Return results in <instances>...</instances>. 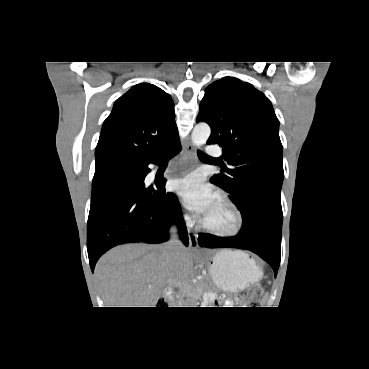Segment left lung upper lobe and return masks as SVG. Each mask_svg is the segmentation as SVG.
Masks as SVG:
<instances>
[{
    "instance_id": "left-lung-upper-lobe-1",
    "label": "left lung upper lobe",
    "mask_w": 369,
    "mask_h": 369,
    "mask_svg": "<svg viewBox=\"0 0 369 369\" xmlns=\"http://www.w3.org/2000/svg\"><path fill=\"white\" fill-rule=\"evenodd\" d=\"M211 127L207 144H219L231 166L210 179L227 191L249 227L264 210L282 213V144L269 99L251 84L224 77L205 90L196 122Z\"/></svg>"
}]
</instances>
